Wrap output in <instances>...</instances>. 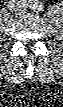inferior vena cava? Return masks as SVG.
Returning <instances> with one entry per match:
<instances>
[{
  "mask_svg": "<svg viewBox=\"0 0 63 107\" xmlns=\"http://www.w3.org/2000/svg\"><path fill=\"white\" fill-rule=\"evenodd\" d=\"M13 11H15L16 13L20 14V13H24L26 12V7L23 6L21 3H16L13 8H12Z\"/></svg>",
  "mask_w": 63,
  "mask_h": 107,
  "instance_id": "inferior-vena-cava-1",
  "label": "inferior vena cava"
}]
</instances>
